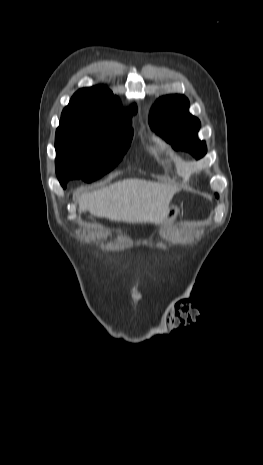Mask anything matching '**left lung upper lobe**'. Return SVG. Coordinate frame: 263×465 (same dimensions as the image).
<instances>
[{
	"instance_id": "left-lung-upper-lobe-1",
	"label": "left lung upper lobe",
	"mask_w": 263,
	"mask_h": 465,
	"mask_svg": "<svg viewBox=\"0 0 263 465\" xmlns=\"http://www.w3.org/2000/svg\"><path fill=\"white\" fill-rule=\"evenodd\" d=\"M188 110L189 101L185 96H164L151 109L149 123L174 149L185 150L199 159L207 152L206 144L197 138L200 121Z\"/></svg>"
}]
</instances>
